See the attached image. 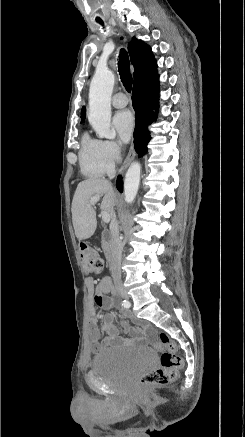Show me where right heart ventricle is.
<instances>
[{"label":"right heart ventricle","mask_w":245,"mask_h":437,"mask_svg":"<svg viewBox=\"0 0 245 437\" xmlns=\"http://www.w3.org/2000/svg\"><path fill=\"white\" fill-rule=\"evenodd\" d=\"M79 162L82 173L89 178H102L107 174L101 157L100 141L86 132L81 138Z\"/></svg>","instance_id":"obj_1"}]
</instances>
